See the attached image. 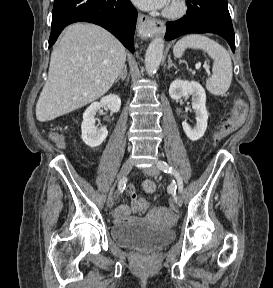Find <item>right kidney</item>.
I'll return each mask as SVG.
<instances>
[{"mask_svg":"<svg viewBox=\"0 0 273 288\" xmlns=\"http://www.w3.org/2000/svg\"><path fill=\"white\" fill-rule=\"evenodd\" d=\"M102 106H107L111 112L117 113L121 107V99L118 95L113 94L105 96L100 102L92 103L84 112L81 125L82 140L92 148L101 145L108 135L106 127L100 129L95 127V116Z\"/></svg>","mask_w":273,"mask_h":288,"instance_id":"1","label":"right kidney"}]
</instances>
